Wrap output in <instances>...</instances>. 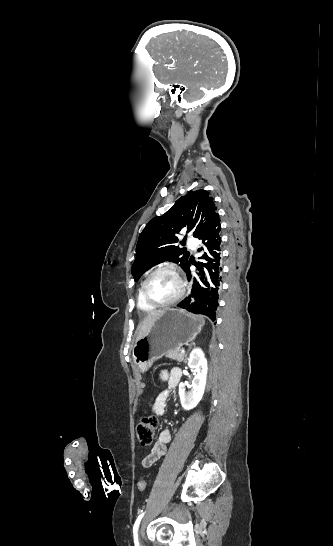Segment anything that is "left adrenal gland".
<instances>
[{"label": "left adrenal gland", "instance_id": "1", "mask_svg": "<svg viewBox=\"0 0 333 546\" xmlns=\"http://www.w3.org/2000/svg\"><path fill=\"white\" fill-rule=\"evenodd\" d=\"M193 345H195V344L193 343ZM189 349H190V347H189ZM186 356H187V355H185V360H184V362H186V359H187V357H186Z\"/></svg>", "mask_w": 333, "mask_h": 546}]
</instances>
